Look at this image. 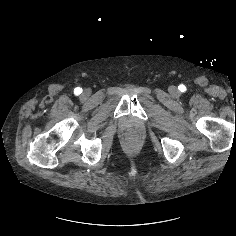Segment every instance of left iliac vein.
Returning a JSON list of instances; mask_svg holds the SVG:
<instances>
[{"label":"left iliac vein","instance_id":"4c4485c4","mask_svg":"<svg viewBox=\"0 0 236 236\" xmlns=\"http://www.w3.org/2000/svg\"><path fill=\"white\" fill-rule=\"evenodd\" d=\"M170 92L175 95V94L178 93V90H177L176 87L172 86V87L170 88Z\"/></svg>","mask_w":236,"mask_h":236}]
</instances>
